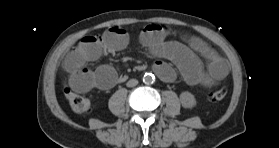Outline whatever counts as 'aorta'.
<instances>
[{
	"instance_id": "obj_1",
	"label": "aorta",
	"mask_w": 279,
	"mask_h": 148,
	"mask_svg": "<svg viewBox=\"0 0 279 148\" xmlns=\"http://www.w3.org/2000/svg\"><path fill=\"white\" fill-rule=\"evenodd\" d=\"M155 81V76L152 73H145L143 76V82L147 85L153 84Z\"/></svg>"
}]
</instances>
